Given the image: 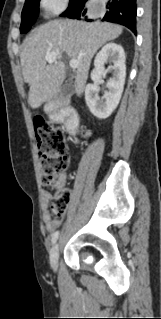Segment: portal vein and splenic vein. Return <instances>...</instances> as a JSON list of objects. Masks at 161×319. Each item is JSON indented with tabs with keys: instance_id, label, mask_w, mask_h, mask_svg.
Masks as SVG:
<instances>
[{
	"instance_id": "portal-vein-and-splenic-vein-1",
	"label": "portal vein and splenic vein",
	"mask_w": 161,
	"mask_h": 319,
	"mask_svg": "<svg viewBox=\"0 0 161 319\" xmlns=\"http://www.w3.org/2000/svg\"><path fill=\"white\" fill-rule=\"evenodd\" d=\"M57 58H58V53H56V52H48L45 55V60L48 63H54ZM69 65L72 69H76L78 67V61L76 59H72V60H70Z\"/></svg>"
}]
</instances>
